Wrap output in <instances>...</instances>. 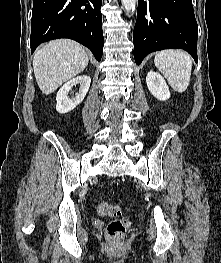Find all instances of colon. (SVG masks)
I'll use <instances>...</instances> for the list:
<instances>
[{
	"label": "colon",
	"mask_w": 221,
	"mask_h": 263,
	"mask_svg": "<svg viewBox=\"0 0 221 263\" xmlns=\"http://www.w3.org/2000/svg\"><path fill=\"white\" fill-rule=\"evenodd\" d=\"M97 214L102 217H114L120 214V208L108 201H102L97 205ZM130 222L125 218L114 219L107 225L108 239L113 243H119L128 231Z\"/></svg>",
	"instance_id": "colon-1"
}]
</instances>
